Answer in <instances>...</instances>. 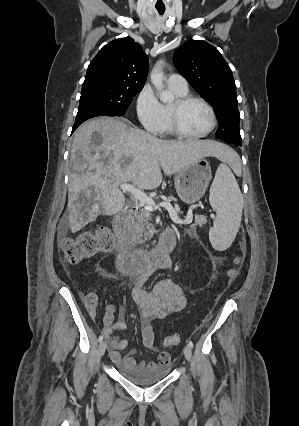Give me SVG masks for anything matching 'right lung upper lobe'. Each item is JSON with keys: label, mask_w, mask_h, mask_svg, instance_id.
Wrapping results in <instances>:
<instances>
[{"label": "right lung upper lobe", "mask_w": 299, "mask_h": 426, "mask_svg": "<svg viewBox=\"0 0 299 426\" xmlns=\"http://www.w3.org/2000/svg\"><path fill=\"white\" fill-rule=\"evenodd\" d=\"M148 57L131 37L105 45L88 66L83 85L106 83L142 89L148 72Z\"/></svg>", "instance_id": "cb5924a9"}]
</instances>
